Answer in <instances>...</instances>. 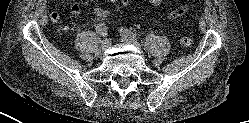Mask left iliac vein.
I'll return each instance as SVG.
<instances>
[{
  "mask_svg": "<svg viewBox=\"0 0 249 123\" xmlns=\"http://www.w3.org/2000/svg\"><path fill=\"white\" fill-rule=\"evenodd\" d=\"M121 37H122V42L132 44V45H134L136 47L140 46L139 41L136 38L129 37V36L123 34V33H121Z\"/></svg>",
  "mask_w": 249,
  "mask_h": 123,
  "instance_id": "4c4485c4",
  "label": "left iliac vein"
}]
</instances>
